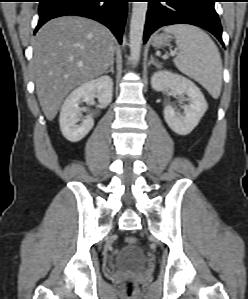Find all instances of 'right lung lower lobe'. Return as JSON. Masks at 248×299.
Listing matches in <instances>:
<instances>
[{"label": "right lung lower lobe", "instance_id": "right-lung-lower-lobe-1", "mask_svg": "<svg viewBox=\"0 0 248 299\" xmlns=\"http://www.w3.org/2000/svg\"><path fill=\"white\" fill-rule=\"evenodd\" d=\"M128 0H40L39 21L35 32L50 19L78 15L96 20L122 43Z\"/></svg>", "mask_w": 248, "mask_h": 299}]
</instances>
